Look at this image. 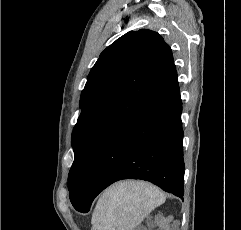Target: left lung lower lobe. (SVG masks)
<instances>
[{"label":"left lung lower lobe","mask_w":241,"mask_h":230,"mask_svg":"<svg viewBox=\"0 0 241 230\" xmlns=\"http://www.w3.org/2000/svg\"><path fill=\"white\" fill-rule=\"evenodd\" d=\"M182 101L177 73L104 145L76 210L86 213L93 199L121 179L150 181L179 197L184 194Z\"/></svg>","instance_id":"obj_1"}]
</instances>
